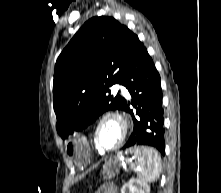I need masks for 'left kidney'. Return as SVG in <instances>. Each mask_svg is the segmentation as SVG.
I'll return each mask as SVG.
<instances>
[{
    "mask_svg": "<svg viewBox=\"0 0 221 193\" xmlns=\"http://www.w3.org/2000/svg\"><path fill=\"white\" fill-rule=\"evenodd\" d=\"M149 185L139 179H130L121 189V193H149Z\"/></svg>",
    "mask_w": 221,
    "mask_h": 193,
    "instance_id": "left-kidney-1",
    "label": "left kidney"
}]
</instances>
